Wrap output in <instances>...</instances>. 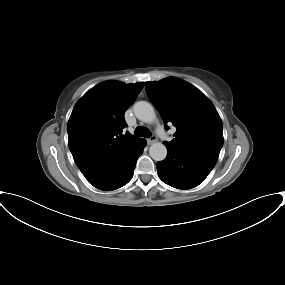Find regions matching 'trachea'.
Returning a JSON list of instances; mask_svg holds the SVG:
<instances>
[{
    "mask_svg": "<svg viewBox=\"0 0 285 285\" xmlns=\"http://www.w3.org/2000/svg\"><path fill=\"white\" fill-rule=\"evenodd\" d=\"M135 135L137 137L149 138L151 136V132H150V130L147 127L138 126L135 129Z\"/></svg>",
    "mask_w": 285,
    "mask_h": 285,
    "instance_id": "1",
    "label": "trachea"
}]
</instances>
